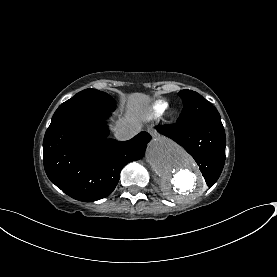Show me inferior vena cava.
Masks as SVG:
<instances>
[{
	"instance_id": "602c4592",
	"label": "inferior vena cava",
	"mask_w": 277,
	"mask_h": 277,
	"mask_svg": "<svg viewBox=\"0 0 277 277\" xmlns=\"http://www.w3.org/2000/svg\"><path fill=\"white\" fill-rule=\"evenodd\" d=\"M114 131V135L117 140L126 141L133 138L141 131V125H127L120 128H116Z\"/></svg>"
}]
</instances>
